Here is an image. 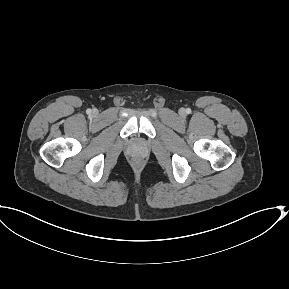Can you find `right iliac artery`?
Segmentation results:
<instances>
[{"label":"right iliac artery","instance_id":"obj_1","mask_svg":"<svg viewBox=\"0 0 289 289\" xmlns=\"http://www.w3.org/2000/svg\"><path fill=\"white\" fill-rule=\"evenodd\" d=\"M87 114H90L91 113V109H87Z\"/></svg>","mask_w":289,"mask_h":289}]
</instances>
